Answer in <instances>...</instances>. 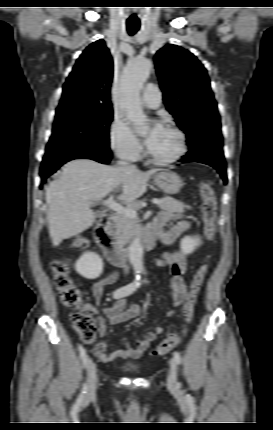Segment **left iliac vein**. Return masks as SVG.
Instances as JSON below:
<instances>
[{
	"instance_id": "obj_1",
	"label": "left iliac vein",
	"mask_w": 273,
	"mask_h": 430,
	"mask_svg": "<svg viewBox=\"0 0 273 430\" xmlns=\"http://www.w3.org/2000/svg\"><path fill=\"white\" fill-rule=\"evenodd\" d=\"M170 369L167 377V385L169 389L176 391L179 388V383L177 381V363L174 359L170 360Z\"/></svg>"
}]
</instances>
